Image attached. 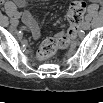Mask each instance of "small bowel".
<instances>
[{
  "label": "small bowel",
  "instance_id": "c3829d8e",
  "mask_svg": "<svg viewBox=\"0 0 103 103\" xmlns=\"http://www.w3.org/2000/svg\"><path fill=\"white\" fill-rule=\"evenodd\" d=\"M10 3H7V6ZM18 7H25V2L23 0H18L15 2ZM20 16V15H19ZM22 21L24 25L27 27L31 37L34 40H38L41 36L40 26L38 22L35 20L34 15L31 11L26 10L22 13Z\"/></svg>",
  "mask_w": 103,
  "mask_h": 103
}]
</instances>
